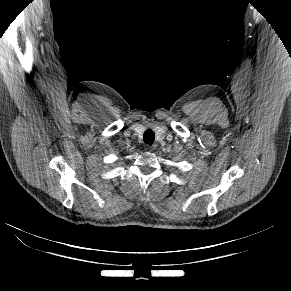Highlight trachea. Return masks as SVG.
<instances>
[{
	"mask_svg": "<svg viewBox=\"0 0 291 291\" xmlns=\"http://www.w3.org/2000/svg\"><path fill=\"white\" fill-rule=\"evenodd\" d=\"M143 140L145 144L152 145L155 140V134L152 130H147L143 134Z\"/></svg>",
	"mask_w": 291,
	"mask_h": 291,
	"instance_id": "obj_1",
	"label": "trachea"
}]
</instances>
